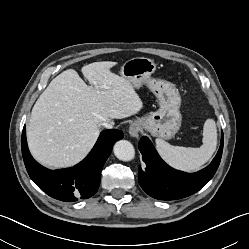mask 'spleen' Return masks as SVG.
Wrapping results in <instances>:
<instances>
[{
    "instance_id": "spleen-1",
    "label": "spleen",
    "mask_w": 249,
    "mask_h": 249,
    "mask_svg": "<svg viewBox=\"0 0 249 249\" xmlns=\"http://www.w3.org/2000/svg\"><path fill=\"white\" fill-rule=\"evenodd\" d=\"M203 144L198 148L173 146L162 139H156L158 153L170 166L186 171H198L209 161L217 145V129L213 119H207L203 127Z\"/></svg>"
}]
</instances>
